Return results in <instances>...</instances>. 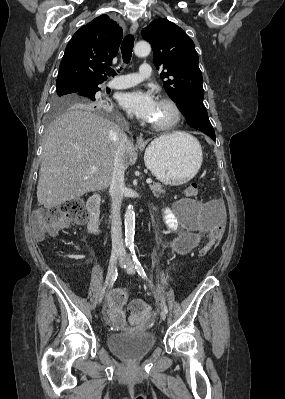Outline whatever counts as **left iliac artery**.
Segmentation results:
<instances>
[{"mask_svg": "<svg viewBox=\"0 0 285 399\" xmlns=\"http://www.w3.org/2000/svg\"><path fill=\"white\" fill-rule=\"evenodd\" d=\"M130 251H131V253H132V258H133V261H134V266H135V269L137 270L138 274H139L143 279L148 280L147 275H146V273H145V271H144V269H143L141 263H140L139 260L137 259V256H136V254H135L134 248H131ZM149 282H150V281H149ZM150 283H151V282H150ZM151 285H153V284L151 283ZM161 307H162L163 311L167 314V313H168V308H167L166 304H165L163 301H162Z\"/></svg>", "mask_w": 285, "mask_h": 399, "instance_id": "left-iliac-artery-1", "label": "left iliac artery"}]
</instances>
